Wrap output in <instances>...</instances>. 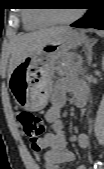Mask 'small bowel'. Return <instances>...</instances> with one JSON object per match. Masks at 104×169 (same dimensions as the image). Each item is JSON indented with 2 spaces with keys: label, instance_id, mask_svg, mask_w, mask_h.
I'll return each instance as SVG.
<instances>
[{
  "label": "small bowel",
  "instance_id": "small-bowel-1",
  "mask_svg": "<svg viewBox=\"0 0 104 169\" xmlns=\"http://www.w3.org/2000/svg\"><path fill=\"white\" fill-rule=\"evenodd\" d=\"M68 93L73 95L75 101L79 97H85V91L77 81L61 80L55 86L51 97V107L45 113V119L51 124L53 132L46 133L38 141L39 147L45 150V169H60L62 164L75 160L74 153L66 148L67 142L61 120V111L66 104ZM76 140L80 149L87 148L88 138L85 134H79ZM77 169L87 168L79 165Z\"/></svg>",
  "mask_w": 104,
  "mask_h": 169
}]
</instances>
